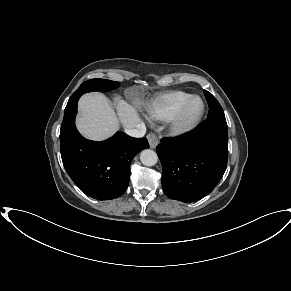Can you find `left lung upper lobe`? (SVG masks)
<instances>
[{"instance_id":"left-lung-upper-lobe-1","label":"left lung upper lobe","mask_w":291,"mask_h":291,"mask_svg":"<svg viewBox=\"0 0 291 291\" xmlns=\"http://www.w3.org/2000/svg\"><path fill=\"white\" fill-rule=\"evenodd\" d=\"M204 94L209 106L207 119L225 118L224 111L216 98L206 90H204Z\"/></svg>"}]
</instances>
